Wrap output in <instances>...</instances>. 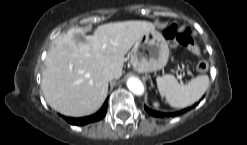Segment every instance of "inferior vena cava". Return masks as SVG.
I'll return each mask as SVG.
<instances>
[{
	"label": "inferior vena cava",
	"mask_w": 247,
	"mask_h": 145,
	"mask_svg": "<svg viewBox=\"0 0 247 145\" xmlns=\"http://www.w3.org/2000/svg\"><path fill=\"white\" fill-rule=\"evenodd\" d=\"M102 75L107 81H111L114 79V73L108 68L102 71Z\"/></svg>",
	"instance_id": "inferior-vena-cava-1"
}]
</instances>
